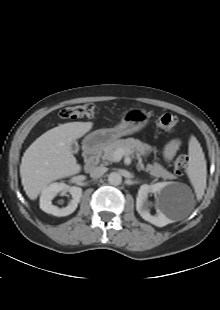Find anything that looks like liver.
Here are the masks:
<instances>
[{
  "mask_svg": "<svg viewBox=\"0 0 220 310\" xmlns=\"http://www.w3.org/2000/svg\"><path fill=\"white\" fill-rule=\"evenodd\" d=\"M92 127V122L61 124L42 134L28 147L22 157L20 176L24 191L31 200L37 199L51 182L81 171L71 144Z\"/></svg>",
  "mask_w": 220,
  "mask_h": 310,
  "instance_id": "obj_1",
  "label": "liver"
}]
</instances>
